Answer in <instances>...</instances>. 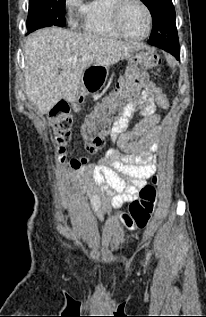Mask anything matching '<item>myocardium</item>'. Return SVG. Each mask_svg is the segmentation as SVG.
I'll return each mask as SVG.
<instances>
[{"instance_id":"obj_1","label":"myocardium","mask_w":206,"mask_h":317,"mask_svg":"<svg viewBox=\"0 0 206 317\" xmlns=\"http://www.w3.org/2000/svg\"><path fill=\"white\" fill-rule=\"evenodd\" d=\"M129 2H137L138 4L141 5V7L144 9V11L146 13L147 29H146V32L142 36H139V37L130 36L122 28V25H121L122 12H123L125 6ZM110 18H111L112 26H113L114 30L116 31V33L120 37H123L127 40L142 41L150 35L151 30H152V25H153L152 13H151V10L148 7V5L143 0H113L111 5H110Z\"/></svg>"}]
</instances>
